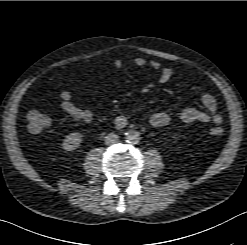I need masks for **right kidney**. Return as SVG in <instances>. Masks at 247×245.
Wrapping results in <instances>:
<instances>
[{
  "label": "right kidney",
  "mask_w": 247,
  "mask_h": 245,
  "mask_svg": "<svg viewBox=\"0 0 247 245\" xmlns=\"http://www.w3.org/2000/svg\"><path fill=\"white\" fill-rule=\"evenodd\" d=\"M82 142V134L78 132H73L68 134L63 140V148L66 151H72L77 149Z\"/></svg>",
  "instance_id": "obj_1"
}]
</instances>
